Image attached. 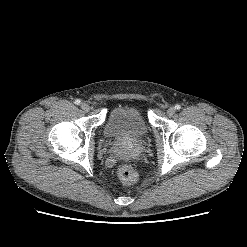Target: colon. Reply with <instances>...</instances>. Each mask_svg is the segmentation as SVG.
<instances>
[{
	"label": "colon",
	"instance_id": "5ec220e1",
	"mask_svg": "<svg viewBox=\"0 0 247 247\" xmlns=\"http://www.w3.org/2000/svg\"><path fill=\"white\" fill-rule=\"evenodd\" d=\"M117 174L120 180L127 185L136 183L138 178L136 171L128 164L119 165Z\"/></svg>",
	"mask_w": 247,
	"mask_h": 247
}]
</instances>
